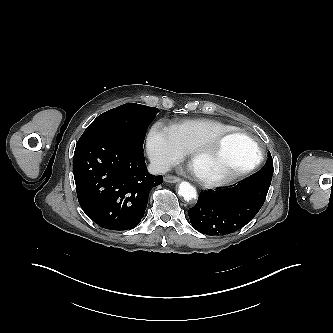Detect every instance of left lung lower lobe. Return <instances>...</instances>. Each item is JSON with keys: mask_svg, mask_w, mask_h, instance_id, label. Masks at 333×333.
<instances>
[{"mask_svg": "<svg viewBox=\"0 0 333 333\" xmlns=\"http://www.w3.org/2000/svg\"><path fill=\"white\" fill-rule=\"evenodd\" d=\"M273 172L258 171L237 184L200 193L189 209L192 226L206 235H226L249 223L264 204Z\"/></svg>", "mask_w": 333, "mask_h": 333, "instance_id": "left-lung-lower-lobe-1", "label": "left lung lower lobe"}]
</instances>
